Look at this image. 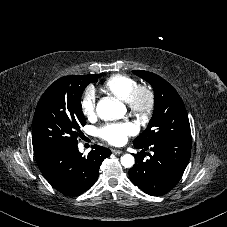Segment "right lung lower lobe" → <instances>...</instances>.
Segmentation results:
<instances>
[{"label":"right lung lower lobe","instance_id":"1","mask_svg":"<svg viewBox=\"0 0 227 227\" xmlns=\"http://www.w3.org/2000/svg\"><path fill=\"white\" fill-rule=\"evenodd\" d=\"M108 148L93 145L87 156H82L77 143L57 145L34 153L36 162L47 181L59 192L80 195L97 180L102 161L109 157Z\"/></svg>","mask_w":227,"mask_h":227}]
</instances>
